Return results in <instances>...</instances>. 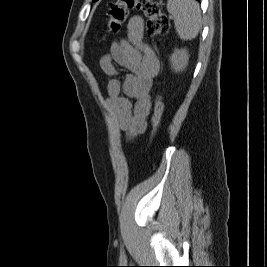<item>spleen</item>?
I'll list each match as a JSON object with an SVG mask.
<instances>
[{
    "mask_svg": "<svg viewBox=\"0 0 267 267\" xmlns=\"http://www.w3.org/2000/svg\"><path fill=\"white\" fill-rule=\"evenodd\" d=\"M167 10L173 16L180 39H194L201 28V10L195 0H167Z\"/></svg>",
    "mask_w": 267,
    "mask_h": 267,
    "instance_id": "obj_1",
    "label": "spleen"
}]
</instances>
